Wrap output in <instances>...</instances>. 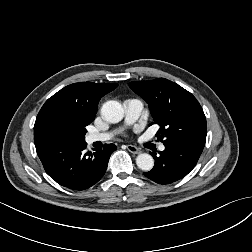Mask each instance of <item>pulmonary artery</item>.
Here are the masks:
<instances>
[{
	"instance_id": "1",
	"label": "pulmonary artery",
	"mask_w": 252,
	"mask_h": 252,
	"mask_svg": "<svg viewBox=\"0 0 252 252\" xmlns=\"http://www.w3.org/2000/svg\"><path fill=\"white\" fill-rule=\"evenodd\" d=\"M124 108V124L131 125L135 123L141 116L143 111V103L139 99H127L123 102ZM118 131H110V132H96L90 133L86 137L87 143H94L99 141L109 140L116 134ZM165 146L161 144L159 146V150L163 151Z\"/></svg>"
}]
</instances>
